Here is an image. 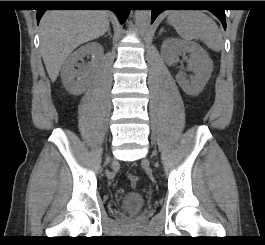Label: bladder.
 I'll use <instances>...</instances> for the list:
<instances>
[{
	"instance_id": "obj_1",
	"label": "bladder",
	"mask_w": 265,
	"mask_h": 245,
	"mask_svg": "<svg viewBox=\"0 0 265 245\" xmlns=\"http://www.w3.org/2000/svg\"><path fill=\"white\" fill-rule=\"evenodd\" d=\"M146 201L138 192L126 193L121 201L120 208L124 213H136L145 208Z\"/></svg>"
}]
</instances>
